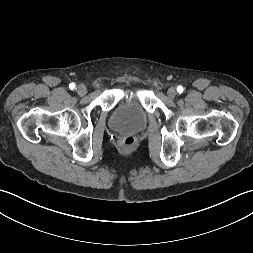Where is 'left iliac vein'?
Returning <instances> with one entry per match:
<instances>
[{"label":"left iliac vein","instance_id":"4c4485c4","mask_svg":"<svg viewBox=\"0 0 253 253\" xmlns=\"http://www.w3.org/2000/svg\"><path fill=\"white\" fill-rule=\"evenodd\" d=\"M177 92L175 88L171 87L167 90V95L169 98L173 99L176 96Z\"/></svg>","mask_w":253,"mask_h":253}]
</instances>
